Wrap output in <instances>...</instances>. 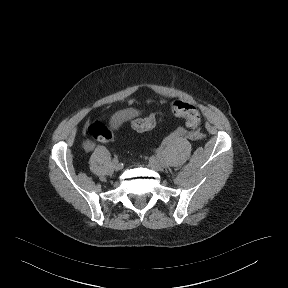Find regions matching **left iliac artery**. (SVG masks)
<instances>
[{"mask_svg":"<svg viewBox=\"0 0 288 288\" xmlns=\"http://www.w3.org/2000/svg\"><path fill=\"white\" fill-rule=\"evenodd\" d=\"M156 157H157V158H160V157H161V154L158 152V153L156 154Z\"/></svg>","mask_w":288,"mask_h":288,"instance_id":"obj_1","label":"left iliac artery"}]
</instances>
